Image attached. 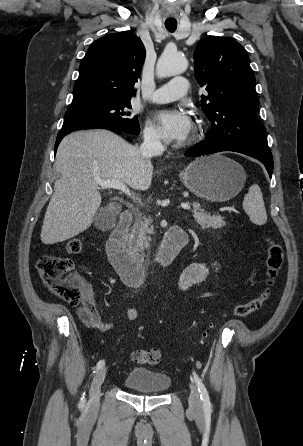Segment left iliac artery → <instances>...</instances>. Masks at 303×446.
<instances>
[{"mask_svg": "<svg viewBox=\"0 0 303 446\" xmlns=\"http://www.w3.org/2000/svg\"><path fill=\"white\" fill-rule=\"evenodd\" d=\"M193 376L196 382V385L198 387V391L200 393V398L202 400L203 403V408L205 411H211V403H210V398L208 395V392L202 382V380L198 377V375L196 374L195 371H193Z\"/></svg>", "mask_w": 303, "mask_h": 446, "instance_id": "left-iliac-artery-1", "label": "left iliac artery"}]
</instances>
